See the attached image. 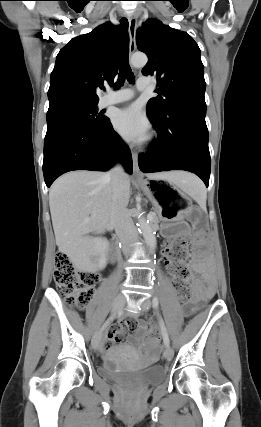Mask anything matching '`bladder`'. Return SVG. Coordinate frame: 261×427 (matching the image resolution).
<instances>
[{
	"mask_svg": "<svg viewBox=\"0 0 261 427\" xmlns=\"http://www.w3.org/2000/svg\"><path fill=\"white\" fill-rule=\"evenodd\" d=\"M98 373L105 379L113 381L136 380L143 384H157L164 380L166 372L163 366L153 365L144 369L121 366L115 360L107 358L98 368Z\"/></svg>",
	"mask_w": 261,
	"mask_h": 427,
	"instance_id": "obj_1",
	"label": "bladder"
}]
</instances>
